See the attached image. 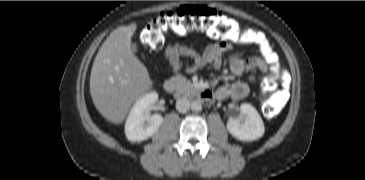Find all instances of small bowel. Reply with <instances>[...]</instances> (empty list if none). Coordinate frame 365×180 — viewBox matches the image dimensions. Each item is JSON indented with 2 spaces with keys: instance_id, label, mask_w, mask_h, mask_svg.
Segmentation results:
<instances>
[{
  "instance_id": "1",
  "label": "small bowel",
  "mask_w": 365,
  "mask_h": 180,
  "mask_svg": "<svg viewBox=\"0 0 365 180\" xmlns=\"http://www.w3.org/2000/svg\"><path fill=\"white\" fill-rule=\"evenodd\" d=\"M255 43L259 45L244 50V58L235 54L228 56V65L233 75L238 77L246 76L245 80L234 82L231 85H224L217 89L215 98L241 100L250 91V84L256 83L268 72L267 52L260 44V37L256 31L245 30ZM233 48L232 44L217 42L208 45L203 51L185 45L169 42L164 50L165 58L175 72H193L205 65L218 67L220 56Z\"/></svg>"
}]
</instances>
